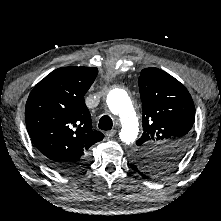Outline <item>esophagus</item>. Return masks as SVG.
<instances>
[{
  "instance_id": "esophagus-1",
  "label": "esophagus",
  "mask_w": 221,
  "mask_h": 221,
  "mask_svg": "<svg viewBox=\"0 0 221 221\" xmlns=\"http://www.w3.org/2000/svg\"><path fill=\"white\" fill-rule=\"evenodd\" d=\"M115 134H116V130H111V131H108L105 133L106 137H108V138L114 137Z\"/></svg>"
}]
</instances>
